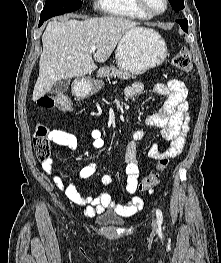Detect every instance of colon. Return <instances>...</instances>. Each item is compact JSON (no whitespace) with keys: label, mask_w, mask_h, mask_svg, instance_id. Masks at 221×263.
I'll list each match as a JSON object with an SVG mask.
<instances>
[{"label":"colon","mask_w":221,"mask_h":263,"mask_svg":"<svg viewBox=\"0 0 221 263\" xmlns=\"http://www.w3.org/2000/svg\"><path fill=\"white\" fill-rule=\"evenodd\" d=\"M173 65L182 71L190 72L192 69L190 53L186 49L178 50L172 59ZM37 104L46 109H56L62 112H71L73 105L69 97L63 94L57 95H44L37 100ZM34 149L37 156L46 160L49 156V138L48 129L44 125H37L34 134ZM169 158H161L156 166V171L146 176L141 184L140 190L148 191L153 188L159 177V173L162 172L168 165Z\"/></svg>","instance_id":"1"}]
</instances>
